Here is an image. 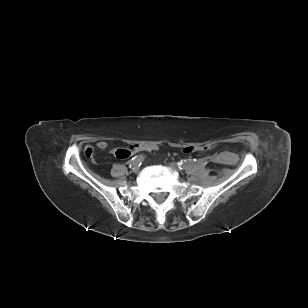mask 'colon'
Here are the masks:
<instances>
[{
    "label": "colon",
    "instance_id": "colon-1",
    "mask_svg": "<svg viewBox=\"0 0 308 308\" xmlns=\"http://www.w3.org/2000/svg\"><path fill=\"white\" fill-rule=\"evenodd\" d=\"M213 145H203V146H189L184 148V153L191 154L196 152H205L211 150ZM157 152V147L155 145L149 144H130L127 148H117L115 150V155L120 160H125L127 157L139 155L140 153L144 154H155ZM93 153V149L88 147L85 149V154L87 156H91Z\"/></svg>",
    "mask_w": 308,
    "mask_h": 308
}]
</instances>
